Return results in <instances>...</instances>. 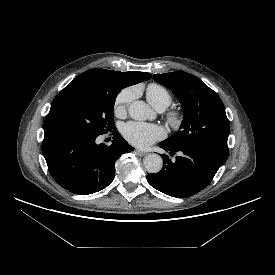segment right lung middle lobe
<instances>
[{
    "mask_svg": "<svg viewBox=\"0 0 275 275\" xmlns=\"http://www.w3.org/2000/svg\"><path fill=\"white\" fill-rule=\"evenodd\" d=\"M120 90L110 82L69 84L53 100L44 133L63 131L99 136L115 129L113 108Z\"/></svg>",
    "mask_w": 275,
    "mask_h": 275,
    "instance_id": "dd1d6c3e",
    "label": "right lung middle lobe"
}]
</instances>
